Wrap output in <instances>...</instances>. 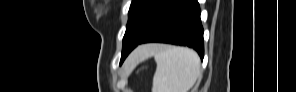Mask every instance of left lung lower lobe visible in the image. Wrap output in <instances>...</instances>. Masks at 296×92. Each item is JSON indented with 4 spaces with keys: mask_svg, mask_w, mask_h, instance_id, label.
I'll use <instances>...</instances> for the list:
<instances>
[{
    "mask_svg": "<svg viewBox=\"0 0 296 92\" xmlns=\"http://www.w3.org/2000/svg\"><path fill=\"white\" fill-rule=\"evenodd\" d=\"M147 42L189 46L195 49L203 59V28L197 0H170L153 28L139 44ZM136 46L124 53L121 62Z\"/></svg>",
    "mask_w": 296,
    "mask_h": 92,
    "instance_id": "0a47b994",
    "label": "left lung lower lobe"
}]
</instances>
